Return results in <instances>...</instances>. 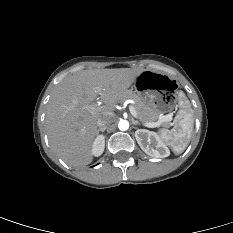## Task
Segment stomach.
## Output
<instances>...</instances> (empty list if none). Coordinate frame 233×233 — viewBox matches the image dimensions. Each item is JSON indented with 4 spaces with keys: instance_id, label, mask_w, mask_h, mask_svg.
<instances>
[{
    "instance_id": "1",
    "label": "stomach",
    "mask_w": 233,
    "mask_h": 233,
    "mask_svg": "<svg viewBox=\"0 0 233 233\" xmlns=\"http://www.w3.org/2000/svg\"><path fill=\"white\" fill-rule=\"evenodd\" d=\"M134 92L160 113L172 111L180 93L178 82L166 74L144 70L134 81Z\"/></svg>"
}]
</instances>
